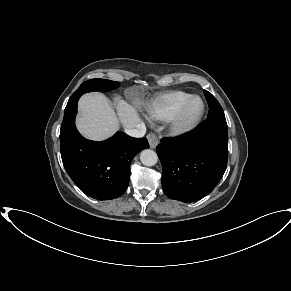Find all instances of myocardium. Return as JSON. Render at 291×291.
<instances>
[{
  "label": "myocardium",
  "mask_w": 291,
  "mask_h": 291,
  "mask_svg": "<svg viewBox=\"0 0 291 291\" xmlns=\"http://www.w3.org/2000/svg\"><path fill=\"white\" fill-rule=\"evenodd\" d=\"M195 100L200 101L201 107L199 112L191 119L187 118V112L191 103ZM206 105L204 100L198 95H192L177 111V113L170 119V131L174 135H185L193 131L201 122Z\"/></svg>",
  "instance_id": "myocardium-1"
}]
</instances>
